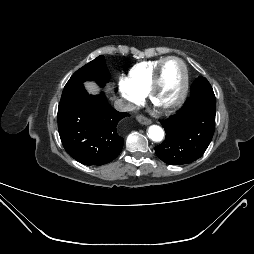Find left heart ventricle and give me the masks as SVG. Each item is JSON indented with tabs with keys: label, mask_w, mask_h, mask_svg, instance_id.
<instances>
[{
	"label": "left heart ventricle",
	"mask_w": 254,
	"mask_h": 254,
	"mask_svg": "<svg viewBox=\"0 0 254 254\" xmlns=\"http://www.w3.org/2000/svg\"><path fill=\"white\" fill-rule=\"evenodd\" d=\"M183 79V69L179 62L171 60L162 70L161 84L155 96V104L165 106L178 96Z\"/></svg>",
	"instance_id": "b2bd125f"
}]
</instances>
